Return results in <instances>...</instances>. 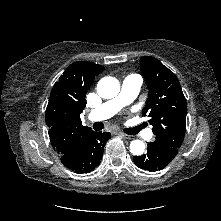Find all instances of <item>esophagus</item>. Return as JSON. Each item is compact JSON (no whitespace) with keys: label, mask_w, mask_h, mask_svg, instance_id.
Instances as JSON below:
<instances>
[{"label":"esophagus","mask_w":221,"mask_h":221,"mask_svg":"<svg viewBox=\"0 0 221 221\" xmlns=\"http://www.w3.org/2000/svg\"><path fill=\"white\" fill-rule=\"evenodd\" d=\"M120 136H122L123 138H125V139H128V140H131L132 138H133V136H131V135H127V134H125V133H118Z\"/></svg>","instance_id":"esophagus-1"}]
</instances>
